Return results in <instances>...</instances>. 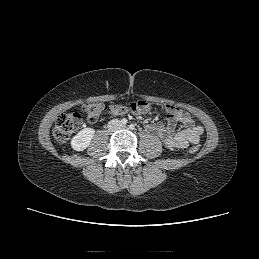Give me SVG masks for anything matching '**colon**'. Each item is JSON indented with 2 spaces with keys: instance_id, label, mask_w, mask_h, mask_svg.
<instances>
[{
  "instance_id": "5ec220e1",
  "label": "colon",
  "mask_w": 259,
  "mask_h": 259,
  "mask_svg": "<svg viewBox=\"0 0 259 259\" xmlns=\"http://www.w3.org/2000/svg\"><path fill=\"white\" fill-rule=\"evenodd\" d=\"M149 104L143 100L131 103L129 106L124 105H108L102 103H87L82 109L87 115V119L91 123H96L101 120L105 114L113 116L126 114L128 111L141 112L149 108ZM82 126V117L77 112L63 113L56 119L53 135L56 141L65 143L70 135ZM190 153L195 154L199 151V145H193L190 148Z\"/></svg>"
}]
</instances>
